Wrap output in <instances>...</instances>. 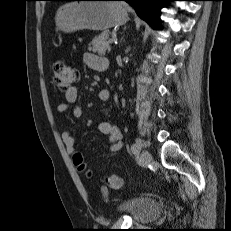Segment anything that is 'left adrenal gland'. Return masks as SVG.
I'll return each mask as SVG.
<instances>
[{"label": "left adrenal gland", "instance_id": "a2214340", "mask_svg": "<svg viewBox=\"0 0 231 231\" xmlns=\"http://www.w3.org/2000/svg\"><path fill=\"white\" fill-rule=\"evenodd\" d=\"M122 41H124V36L122 37Z\"/></svg>", "mask_w": 231, "mask_h": 231}]
</instances>
